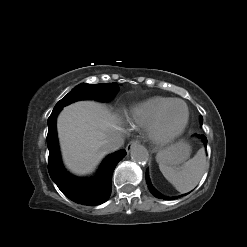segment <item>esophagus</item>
Wrapping results in <instances>:
<instances>
[{
  "mask_svg": "<svg viewBox=\"0 0 247 247\" xmlns=\"http://www.w3.org/2000/svg\"><path fill=\"white\" fill-rule=\"evenodd\" d=\"M139 144L138 140L130 141L126 146V151L129 153L132 149H134Z\"/></svg>",
  "mask_w": 247,
  "mask_h": 247,
  "instance_id": "obj_1",
  "label": "esophagus"
}]
</instances>
